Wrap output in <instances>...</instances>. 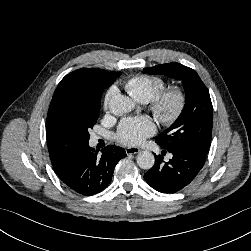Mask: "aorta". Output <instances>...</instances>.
Returning a JSON list of instances; mask_svg holds the SVG:
<instances>
[{"instance_id": "762f6f07", "label": "aorta", "mask_w": 251, "mask_h": 251, "mask_svg": "<svg viewBox=\"0 0 251 251\" xmlns=\"http://www.w3.org/2000/svg\"><path fill=\"white\" fill-rule=\"evenodd\" d=\"M134 102L127 96L115 95L109 101V109L114 114H126L132 111ZM155 163L154 155L149 151H141L137 155V164L141 169H151Z\"/></svg>"}]
</instances>
